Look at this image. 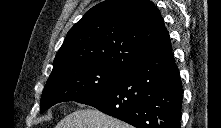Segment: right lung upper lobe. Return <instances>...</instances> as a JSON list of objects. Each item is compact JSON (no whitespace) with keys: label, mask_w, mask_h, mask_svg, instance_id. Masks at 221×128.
Instances as JSON below:
<instances>
[{"label":"right lung upper lobe","mask_w":221,"mask_h":128,"mask_svg":"<svg viewBox=\"0 0 221 128\" xmlns=\"http://www.w3.org/2000/svg\"><path fill=\"white\" fill-rule=\"evenodd\" d=\"M171 49L168 31L154 3L106 0L87 11L69 30L52 72L85 65L128 70Z\"/></svg>","instance_id":"right-lung-upper-lobe-1"}]
</instances>
